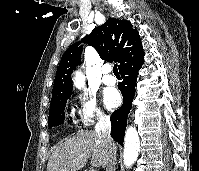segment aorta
Wrapping results in <instances>:
<instances>
[{
  "label": "aorta",
  "mask_w": 199,
  "mask_h": 171,
  "mask_svg": "<svg viewBox=\"0 0 199 171\" xmlns=\"http://www.w3.org/2000/svg\"><path fill=\"white\" fill-rule=\"evenodd\" d=\"M74 84L77 88L84 87V79L81 72H76L74 77ZM140 148V140L138 133L134 127H129L125 133V147H124V165L131 167L137 160Z\"/></svg>",
  "instance_id": "aorta-1"
}]
</instances>
